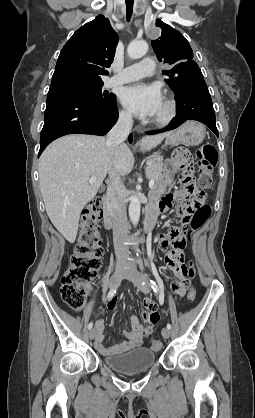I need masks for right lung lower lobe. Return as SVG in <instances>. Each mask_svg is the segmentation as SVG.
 I'll return each instance as SVG.
<instances>
[{
	"label": "right lung lower lobe",
	"instance_id": "1",
	"mask_svg": "<svg viewBox=\"0 0 255 418\" xmlns=\"http://www.w3.org/2000/svg\"><path fill=\"white\" fill-rule=\"evenodd\" d=\"M117 119L116 97L105 104L76 94L48 95L38 157L49 143L67 134L105 135Z\"/></svg>",
	"mask_w": 255,
	"mask_h": 418
}]
</instances>
